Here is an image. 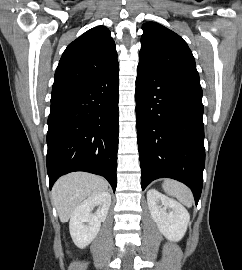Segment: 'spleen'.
I'll return each mask as SVG.
<instances>
[{
	"label": "spleen",
	"instance_id": "3e777b00",
	"mask_svg": "<svg viewBox=\"0 0 242 270\" xmlns=\"http://www.w3.org/2000/svg\"><path fill=\"white\" fill-rule=\"evenodd\" d=\"M162 187L168 195L175 197L185 206L187 207L192 206L193 203L192 192L184 184L178 181L167 179L164 181Z\"/></svg>",
	"mask_w": 242,
	"mask_h": 270
}]
</instances>
